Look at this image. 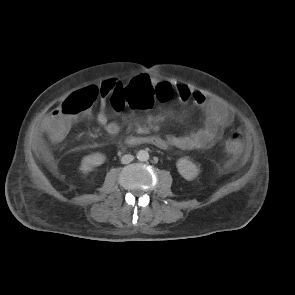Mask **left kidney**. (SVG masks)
I'll use <instances>...</instances> for the list:
<instances>
[{
  "instance_id": "5707ae66",
  "label": "left kidney",
  "mask_w": 295,
  "mask_h": 295,
  "mask_svg": "<svg viewBox=\"0 0 295 295\" xmlns=\"http://www.w3.org/2000/svg\"><path fill=\"white\" fill-rule=\"evenodd\" d=\"M176 167L179 174L186 180H192L198 175L197 166L187 157L180 158L176 162Z\"/></svg>"
}]
</instances>
